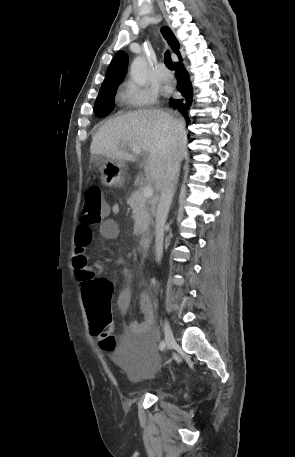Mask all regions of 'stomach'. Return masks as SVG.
<instances>
[{
    "mask_svg": "<svg viewBox=\"0 0 295 457\" xmlns=\"http://www.w3.org/2000/svg\"><path fill=\"white\" fill-rule=\"evenodd\" d=\"M103 183L108 187H121L125 182L123 161L105 158L101 163Z\"/></svg>",
    "mask_w": 295,
    "mask_h": 457,
    "instance_id": "obj_1",
    "label": "stomach"
}]
</instances>
